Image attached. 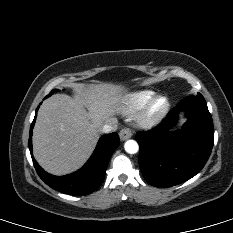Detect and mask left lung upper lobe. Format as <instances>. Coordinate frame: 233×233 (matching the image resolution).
<instances>
[{"label":"left lung upper lobe","mask_w":233,"mask_h":233,"mask_svg":"<svg viewBox=\"0 0 233 233\" xmlns=\"http://www.w3.org/2000/svg\"><path fill=\"white\" fill-rule=\"evenodd\" d=\"M197 96H202V95L200 93H198Z\"/></svg>","instance_id":"5c2ea615"}]
</instances>
